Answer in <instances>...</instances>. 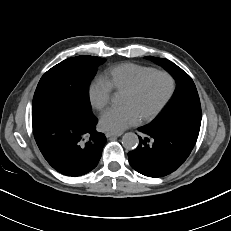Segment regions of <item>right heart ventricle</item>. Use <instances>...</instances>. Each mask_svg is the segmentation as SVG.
<instances>
[{
  "label": "right heart ventricle",
  "instance_id": "e07e8e85",
  "mask_svg": "<svg viewBox=\"0 0 231 231\" xmlns=\"http://www.w3.org/2000/svg\"><path fill=\"white\" fill-rule=\"evenodd\" d=\"M153 70L155 69L144 65L123 63L109 69L104 79L110 85L112 90L124 92L138 79Z\"/></svg>",
  "mask_w": 231,
  "mask_h": 231
}]
</instances>
